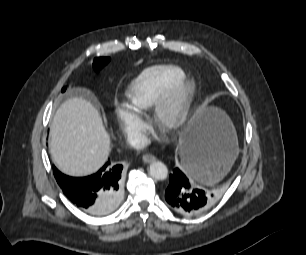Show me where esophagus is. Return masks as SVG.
Wrapping results in <instances>:
<instances>
[{
    "label": "esophagus",
    "instance_id": "obj_1",
    "mask_svg": "<svg viewBox=\"0 0 306 255\" xmlns=\"http://www.w3.org/2000/svg\"><path fill=\"white\" fill-rule=\"evenodd\" d=\"M144 163H151L156 160V157L152 154H145L142 157Z\"/></svg>",
    "mask_w": 306,
    "mask_h": 255
}]
</instances>
